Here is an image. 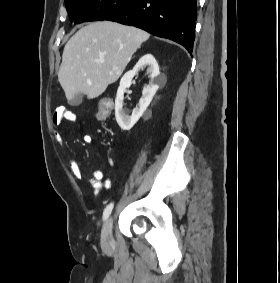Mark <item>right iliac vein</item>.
<instances>
[{"mask_svg": "<svg viewBox=\"0 0 280 283\" xmlns=\"http://www.w3.org/2000/svg\"><path fill=\"white\" fill-rule=\"evenodd\" d=\"M113 217H110L102 231L101 244L104 249H109L113 244L112 237Z\"/></svg>", "mask_w": 280, "mask_h": 283, "instance_id": "1", "label": "right iliac vein"}]
</instances>
